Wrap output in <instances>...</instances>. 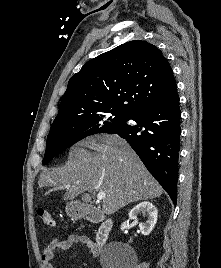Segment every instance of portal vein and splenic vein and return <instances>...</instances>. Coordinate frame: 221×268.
Here are the masks:
<instances>
[{
    "mask_svg": "<svg viewBox=\"0 0 221 268\" xmlns=\"http://www.w3.org/2000/svg\"><path fill=\"white\" fill-rule=\"evenodd\" d=\"M65 188H66V189L70 188V185H66ZM105 197H106V194H105V192H103V191H100V192L97 194V199H98V200H103V199H105Z\"/></svg>",
    "mask_w": 221,
    "mask_h": 268,
    "instance_id": "obj_1",
    "label": "portal vein and splenic vein"
}]
</instances>
